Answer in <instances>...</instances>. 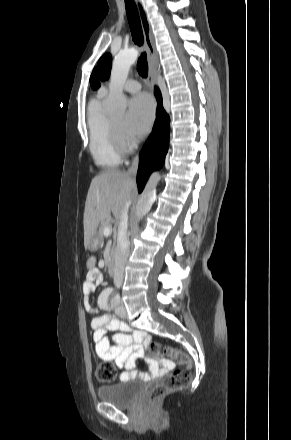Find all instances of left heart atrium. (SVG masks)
I'll return each instance as SVG.
<instances>
[{
	"mask_svg": "<svg viewBox=\"0 0 291 440\" xmlns=\"http://www.w3.org/2000/svg\"><path fill=\"white\" fill-rule=\"evenodd\" d=\"M154 107L149 96L139 94L129 101V109L124 119V131L128 138L135 139L145 135L153 122Z\"/></svg>",
	"mask_w": 291,
	"mask_h": 440,
	"instance_id": "1",
	"label": "left heart atrium"
}]
</instances>
